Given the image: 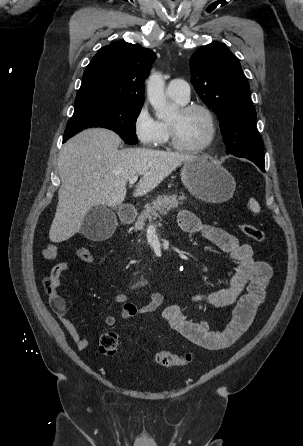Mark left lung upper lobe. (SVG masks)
<instances>
[{
  "mask_svg": "<svg viewBox=\"0 0 303 446\" xmlns=\"http://www.w3.org/2000/svg\"><path fill=\"white\" fill-rule=\"evenodd\" d=\"M191 82L217 115L226 153L264 163L249 84L236 56L224 45L199 48L190 59Z\"/></svg>",
  "mask_w": 303,
  "mask_h": 446,
  "instance_id": "1",
  "label": "left lung upper lobe"
}]
</instances>
